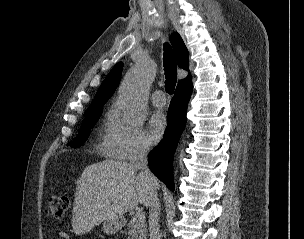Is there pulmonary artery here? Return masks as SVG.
<instances>
[{"label":"pulmonary artery","mask_w":304,"mask_h":239,"mask_svg":"<svg viewBox=\"0 0 304 239\" xmlns=\"http://www.w3.org/2000/svg\"><path fill=\"white\" fill-rule=\"evenodd\" d=\"M151 102L157 107H163L166 104V98L161 90H156L151 95Z\"/></svg>","instance_id":"1"}]
</instances>
